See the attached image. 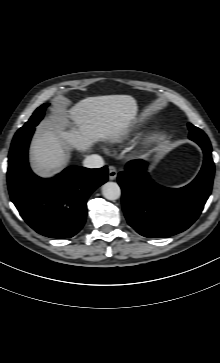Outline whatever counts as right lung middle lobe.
<instances>
[{"label":"right lung middle lobe","instance_id":"1","mask_svg":"<svg viewBox=\"0 0 220 363\" xmlns=\"http://www.w3.org/2000/svg\"><path fill=\"white\" fill-rule=\"evenodd\" d=\"M49 104H43L42 106H40L31 116V118L29 119L28 122L25 123V125L23 127H21L17 133L15 134L14 138L20 137L22 134H24L25 132L29 131L31 128L35 127L40 120L43 118L44 116V111L46 109V107Z\"/></svg>","mask_w":220,"mask_h":363}]
</instances>
